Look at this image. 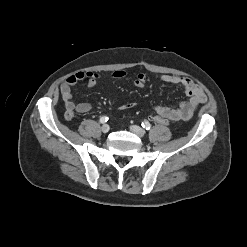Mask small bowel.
<instances>
[{"mask_svg":"<svg viewBox=\"0 0 247 247\" xmlns=\"http://www.w3.org/2000/svg\"><path fill=\"white\" fill-rule=\"evenodd\" d=\"M127 76L125 70H116L111 74L114 79H122ZM102 76L95 72L78 71L68 76L60 85L61 98L65 106V119L70 121L75 118L76 114L87 113L92 110V105L87 102L74 103L72 96V87L79 81L86 80L88 87H93ZM160 79L171 85H177L181 87L188 99L182 102L177 108H170L166 106H155L157 114L169 118L173 121L188 120L190 119L198 106L206 101V95L204 90L195 84V82L183 76H175L169 74H163ZM148 78L145 74H138L134 80L133 85L137 88H142L147 83ZM135 106V103H126L119 106V110L130 109Z\"/></svg>","mask_w":247,"mask_h":247,"instance_id":"small-bowel-1","label":"small bowel"}]
</instances>
